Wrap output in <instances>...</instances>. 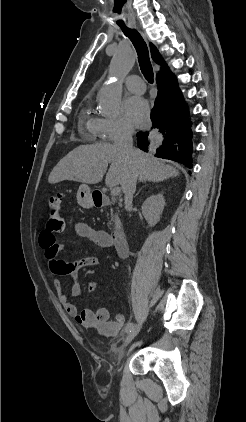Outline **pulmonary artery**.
I'll return each instance as SVG.
<instances>
[{"label": "pulmonary artery", "instance_id": "pulmonary-artery-1", "mask_svg": "<svg viewBox=\"0 0 246 422\" xmlns=\"http://www.w3.org/2000/svg\"><path fill=\"white\" fill-rule=\"evenodd\" d=\"M125 86L132 92L142 94L145 91V84L138 75H130L125 81Z\"/></svg>", "mask_w": 246, "mask_h": 422}]
</instances>
